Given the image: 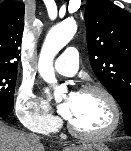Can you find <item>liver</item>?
<instances>
[{
  "mask_svg": "<svg viewBox=\"0 0 131 151\" xmlns=\"http://www.w3.org/2000/svg\"><path fill=\"white\" fill-rule=\"evenodd\" d=\"M0 151H45L43 144L0 121Z\"/></svg>",
  "mask_w": 131,
  "mask_h": 151,
  "instance_id": "obj_1",
  "label": "liver"
}]
</instances>
